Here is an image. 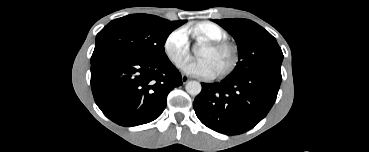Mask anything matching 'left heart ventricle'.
Instances as JSON below:
<instances>
[{"label": "left heart ventricle", "mask_w": 369, "mask_h": 152, "mask_svg": "<svg viewBox=\"0 0 369 152\" xmlns=\"http://www.w3.org/2000/svg\"><path fill=\"white\" fill-rule=\"evenodd\" d=\"M199 57L210 61L215 72L218 73L229 65L232 54L229 50H212L203 46L199 51Z\"/></svg>", "instance_id": "1"}]
</instances>
